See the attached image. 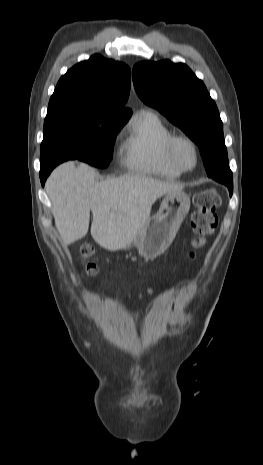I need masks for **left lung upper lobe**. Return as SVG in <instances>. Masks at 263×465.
Masks as SVG:
<instances>
[{"mask_svg":"<svg viewBox=\"0 0 263 465\" xmlns=\"http://www.w3.org/2000/svg\"><path fill=\"white\" fill-rule=\"evenodd\" d=\"M132 76L135 90L145 104L181 128L199 146L202 157H213L219 162L212 178L227 185L232 194L233 177L223 124L204 83L185 64L169 60L137 63Z\"/></svg>","mask_w":263,"mask_h":465,"instance_id":"5c2ea615","label":"left lung upper lobe"}]
</instances>
